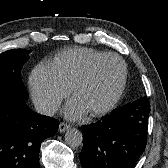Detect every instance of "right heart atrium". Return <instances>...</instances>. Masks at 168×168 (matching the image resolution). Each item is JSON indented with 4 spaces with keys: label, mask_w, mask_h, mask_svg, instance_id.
Returning a JSON list of instances; mask_svg holds the SVG:
<instances>
[{
    "label": "right heart atrium",
    "mask_w": 168,
    "mask_h": 168,
    "mask_svg": "<svg viewBox=\"0 0 168 168\" xmlns=\"http://www.w3.org/2000/svg\"><path fill=\"white\" fill-rule=\"evenodd\" d=\"M29 83L35 107L44 115L56 111L71 92L51 64H37L31 72Z\"/></svg>",
    "instance_id": "1"
}]
</instances>
